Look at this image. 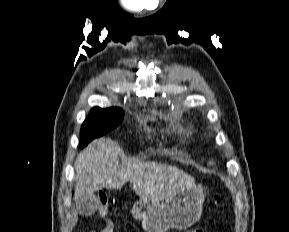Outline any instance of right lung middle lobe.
I'll return each instance as SVG.
<instances>
[{
	"label": "right lung middle lobe",
	"instance_id": "obj_1",
	"mask_svg": "<svg viewBox=\"0 0 289 232\" xmlns=\"http://www.w3.org/2000/svg\"><path fill=\"white\" fill-rule=\"evenodd\" d=\"M123 117L124 112L120 108L111 107L102 109L94 107L81 128V146H86L93 139L104 135L118 126L122 122Z\"/></svg>",
	"mask_w": 289,
	"mask_h": 232
}]
</instances>
